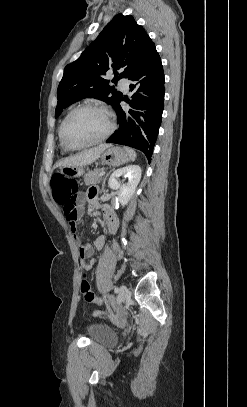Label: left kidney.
Segmentation results:
<instances>
[{
  "label": "left kidney",
  "instance_id": "1",
  "mask_svg": "<svg viewBox=\"0 0 247 407\" xmlns=\"http://www.w3.org/2000/svg\"><path fill=\"white\" fill-rule=\"evenodd\" d=\"M121 176L128 178V182L126 184H121L119 182V178ZM140 179L141 168L138 165H129L114 171L110 176L108 185L111 189L117 191L119 202L122 206H125L135 193Z\"/></svg>",
  "mask_w": 247,
  "mask_h": 407
}]
</instances>
